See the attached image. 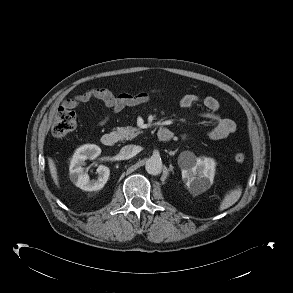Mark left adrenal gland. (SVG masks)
I'll return each instance as SVG.
<instances>
[{"label":"left adrenal gland","mask_w":293,"mask_h":293,"mask_svg":"<svg viewBox=\"0 0 293 293\" xmlns=\"http://www.w3.org/2000/svg\"><path fill=\"white\" fill-rule=\"evenodd\" d=\"M178 149H176L175 151H170L169 155L174 156L177 153Z\"/></svg>","instance_id":"obj_1"}]
</instances>
